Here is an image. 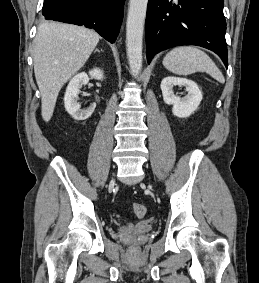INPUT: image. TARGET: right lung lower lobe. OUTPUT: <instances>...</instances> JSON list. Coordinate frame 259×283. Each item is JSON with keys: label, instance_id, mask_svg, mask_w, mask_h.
I'll use <instances>...</instances> for the list:
<instances>
[{"label": "right lung lower lobe", "instance_id": "1", "mask_svg": "<svg viewBox=\"0 0 259 283\" xmlns=\"http://www.w3.org/2000/svg\"><path fill=\"white\" fill-rule=\"evenodd\" d=\"M125 0H45L42 14L47 20L85 25L114 43L123 19Z\"/></svg>", "mask_w": 259, "mask_h": 283}]
</instances>
